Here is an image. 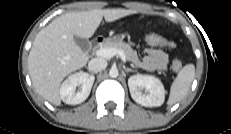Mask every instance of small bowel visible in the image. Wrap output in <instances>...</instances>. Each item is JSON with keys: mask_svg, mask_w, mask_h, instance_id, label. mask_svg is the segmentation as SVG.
I'll return each instance as SVG.
<instances>
[{"mask_svg": "<svg viewBox=\"0 0 231 134\" xmlns=\"http://www.w3.org/2000/svg\"><path fill=\"white\" fill-rule=\"evenodd\" d=\"M125 21L135 23L136 20L125 18ZM151 23L149 22L148 25ZM133 62L146 70H164L167 68L168 55L165 51L159 48L146 49V55L143 58H139L136 54H132Z\"/></svg>", "mask_w": 231, "mask_h": 134, "instance_id": "1", "label": "small bowel"}]
</instances>
